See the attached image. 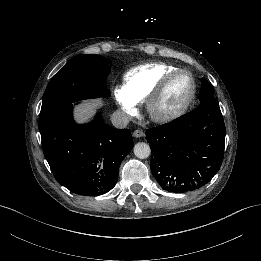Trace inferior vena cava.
I'll use <instances>...</instances> for the list:
<instances>
[{
	"instance_id": "1",
	"label": "inferior vena cava",
	"mask_w": 261,
	"mask_h": 261,
	"mask_svg": "<svg viewBox=\"0 0 261 261\" xmlns=\"http://www.w3.org/2000/svg\"><path fill=\"white\" fill-rule=\"evenodd\" d=\"M112 124L119 129L125 128L129 124V117L122 111H114L111 116Z\"/></svg>"
}]
</instances>
